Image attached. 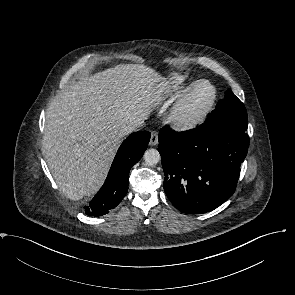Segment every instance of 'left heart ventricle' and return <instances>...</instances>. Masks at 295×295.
Segmentation results:
<instances>
[{
  "mask_svg": "<svg viewBox=\"0 0 295 295\" xmlns=\"http://www.w3.org/2000/svg\"><path fill=\"white\" fill-rule=\"evenodd\" d=\"M210 93H211V90L208 85L201 86V88L198 90V92L196 93V95L194 96L191 102L190 111L196 112L200 110L207 102L210 96Z\"/></svg>",
  "mask_w": 295,
  "mask_h": 295,
  "instance_id": "1",
  "label": "left heart ventricle"
}]
</instances>
